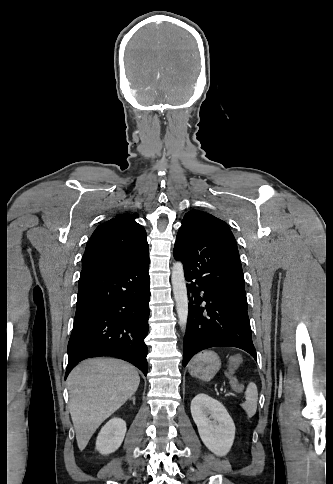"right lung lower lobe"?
<instances>
[{
    "label": "right lung lower lobe",
    "mask_w": 333,
    "mask_h": 484,
    "mask_svg": "<svg viewBox=\"0 0 333 484\" xmlns=\"http://www.w3.org/2000/svg\"><path fill=\"white\" fill-rule=\"evenodd\" d=\"M148 270V253L124 264L82 269L66 377L81 360L99 356L119 357L147 374Z\"/></svg>",
    "instance_id": "1"
}]
</instances>
